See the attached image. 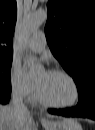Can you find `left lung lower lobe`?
Returning <instances> with one entry per match:
<instances>
[{"instance_id":"left-lung-lower-lobe-1","label":"left lung lower lobe","mask_w":95,"mask_h":130,"mask_svg":"<svg viewBox=\"0 0 95 130\" xmlns=\"http://www.w3.org/2000/svg\"><path fill=\"white\" fill-rule=\"evenodd\" d=\"M49 113L65 117H83L95 119V84H91L81 94L75 108L49 109Z\"/></svg>"}]
</instances>
